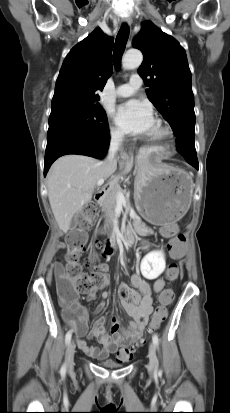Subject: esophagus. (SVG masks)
<instances>
[{"label":"esophagus","instance_id":"esophagus-1","mask_svg":"<svg viewBox=\"0 0 230 413\" xmlns=\"http://www.w3.org/2000/svg\"><path fill=\"white\" fill-rule=\"evenodd\" d=\"M122 21L124 22V23H126L127 25H131V23H132V19L130 18V17H124L123 19H122Z\"/></svg>","mask_w":230,"mask_h":413}]
</instances>
